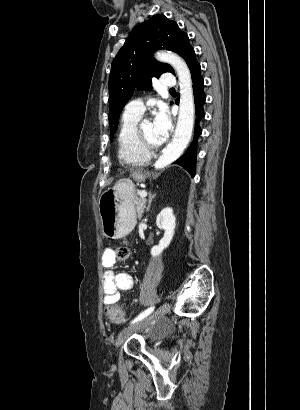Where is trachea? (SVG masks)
I'll return each mask as SVG.
<instances>
[{
	"instance_id": "obj_1",
	"label": "trachea",
	"mask_w": 300,
	"mask_h": 410,
	"mask_svg": "<svg viewBox=\"0 0 300 410\" xmlns=\"http://www.w3.org/2000/svg\"><path fill=\"white\" fill-rule=\"evenodd\" d=\"M169 91H175V89L174 88H170V90Z\"/></svg>"
}]
</instances>
